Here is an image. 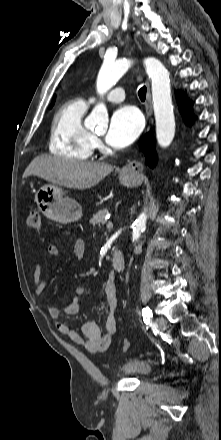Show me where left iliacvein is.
<instances>
[{
  "label": "left iliac vein",
  "mask_w": 221,
  "mask_h": 440,
  "mask_svg": "<svg viewBox=\"0 0 221 440\" xmlns=\"http://www.w3.org/2000/svg\"><path fill=\"white\" fill-rule=\"evenodd\" d=\"M155 322L159 331H163L165 329L166 320L163 317H158Z\"/></svg>",
  "instance_id": "left-iliac-vein-1"
}]
</instances>
